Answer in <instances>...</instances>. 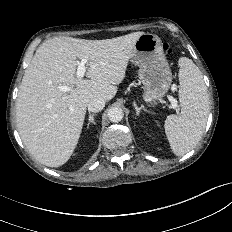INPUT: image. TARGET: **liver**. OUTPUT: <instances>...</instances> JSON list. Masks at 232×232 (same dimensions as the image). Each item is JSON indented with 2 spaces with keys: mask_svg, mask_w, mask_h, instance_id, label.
<instances>
[{
  "mask_svg": "<svg viewBox=\"0 0 232 232\" xmlns=\"http://www.w3.org/2000/svg\"><path fill=\"white\" fill-rule=\"evenodd\" d=\"M144 32L105 40L54 37L42 43L27 67L16 101L17 128L30 154L59 167L74 152L90 100H111L126 74L133 48ZM87 59L88 79L76 76ZM69 86L67 92L59 86Z\"/></svg>",
  "mask_w": 232,
  "mask_h": 232,
  "instance_id": "obj_1",
  "label": "liver"
}]
</instances>
